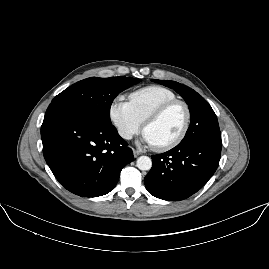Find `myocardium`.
Returning a JSON list of instances; mask_svg holds the SVG:
<instances>
[{
    "mask_svg": "<svg viewBox=\"0 0 269 269\" xmlns=\"http://www.w3.org/2000/svg\"><path fill=\"white\" fill-rule=\"evenodd\" d=\"M175 105H180L182 106V108L185 111V123L183 126V129L181 131V133L171 142L162 145V146H154L153 148L158 151V152H165V151H169L171 149H173L174 147H176L177 145H179L187 136V133L189 131L190 128V123H191V111L190 108L188 106V104L182 100H178V99H174L171 101H168L162 105H160L159 107H157L156 109H154L152 112H150L146 119L144 120L143 123V133L145 134V130L146 127L155 119H157L158 117H160L162 114H164L167 110H169L170 108H172Z\"/></svg>",
    "mask_w": 269,
    "mask_h": 269,
    "instance_id": "obj_1",
    "label": "myocardium"
}]
</instances>
